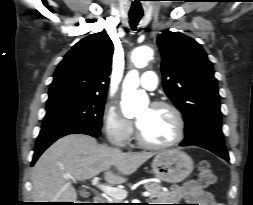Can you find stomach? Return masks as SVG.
Here are the masks:
<instances>
[{
  "mask_svg": "<svg viewBox=\"0 0 253 205\" xmlns=\"http://www.w3.org/2000/svg\"><path fill=\"white\" fill-rule=\"evenodd\" d=\"M152 169L160 180L178 183L191 174L193 161L190 156L178 149L166 150L155 156Z\"/></svg>",
  "mask_w": 253,
  "mask_h": 205,
  "instance_id": "obj_1",
  "label": "stomach"
}]
</instances>
